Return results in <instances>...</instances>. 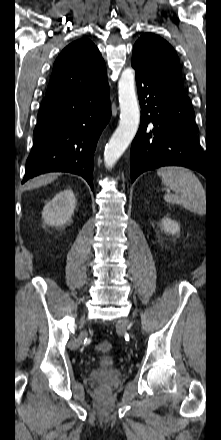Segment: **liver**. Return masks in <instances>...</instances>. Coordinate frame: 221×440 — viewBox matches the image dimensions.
<instances>
[{
  "instance_id": "6515ba94",
  "label": "liver",
  "mask_w": 221,
  "mask_h": 440,
  "mask_svg": "<svg viewBox=\"0 0 221 440\" xmlns=\"http://www.w3.org/2000/svg\"><path fill=\"white\" fill-rule=\"evenodd\" d=\"M59 174L57 173H50V174H45V175H41L39 177H36L34 179H32L31 181H29L26 184V189H33V188H37L43 185H47L49 183H51L52 181H54Z\"/></svg>"
}]
</instances>
